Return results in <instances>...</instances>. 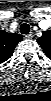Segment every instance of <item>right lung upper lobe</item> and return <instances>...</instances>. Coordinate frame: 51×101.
<instances>
[{
	"label": "right lung upper lobe",
	"mask_w": 51,
	"mask_h": 101,
	"mask_svg": "<svg viewBox=\"0 0 51 101\" xmlns=\"http://www.w3.org/2000/svg\"><path fill=\"white\" fill-rule=\"evenodd\" d=\"M22 39L19 34L0 31V63L5 62L12 56L16 45Z\"/></svg>",
	"instance_id": "right-lung-upper-lobe-1"
}]
</instances>
